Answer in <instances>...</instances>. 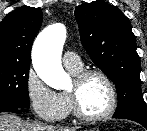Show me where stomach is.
<instances>
[{
  "instance_id": "0dacf381",
  "label": "stomach",
  "mask_w": 147,
  "mask_h": 131,
  "mask_svg": "<svg viewBox=\"0 0 147 131\" xmlns=\"http://www.w3.org/2000/svg\"><path fill=\"white\" fill-rule=\"evenodd\" d=\"M88 131H99L98 129H90Z\"/></svg>"
}]
</instances>
